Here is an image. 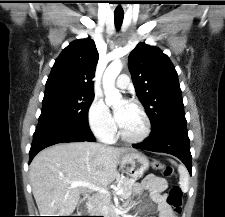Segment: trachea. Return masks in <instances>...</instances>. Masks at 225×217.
<instances>
[{"instance_id":"trachea-1","label":"trachea","mask_w":225,"mask_h":217,"mask_svg":"<svg viewBox=\"0 0 225 217\" xmlns=\"http://www.w3.org/2000/svg\"><path fill=\"white\" fill-rule=\"evenodd\" d=\"M123 18H124V13L114 14V21H115V26L117 29H120L123 22Z\"/></svg>"}]
</instances>
